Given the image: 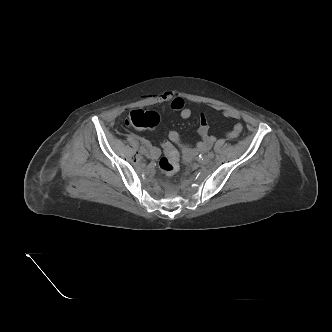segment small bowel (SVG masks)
Masks as SVG:
<instances>
[{
	"mask_svg": "<svg viewBox=\"0 0 332 332\" xmlns=\"http://www.w3.org/2000/svg\"><path fill=\"white\" fill-rule=\"evenodd\" d=\"M162 101L169 102L170 108L177 111L182 119H189L192 115V111L186 106V102L183 97L174 94L173 92H165L162 97ZM210 107L218 111L223 117L227 119H239L240 113L230 107L220 105H210ZM243 126L240 123H236L233 128L227 133L228 138H237L242 132ZM198 133L201 137V141L196 144V149L204 151L209 149L215 141V137L209 134V123L207 117L204 114L200 115ZM169 140L178 145L186 154L191 153L192 148L183 142V138L177 131H171L168 135ZM149 156L151 158H157L159 150L156 147L151 146L148 142Z\"/></svg>",
	"mask_w": 332,
	"mask_h": 332,
	"instance_id": "obj_1",
	"label": "small bowel"
}]
</instances>
